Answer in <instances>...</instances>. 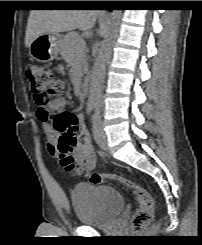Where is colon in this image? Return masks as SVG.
<instances>
[{"mask_svg":"<svg viewBox=\"0 0 202 245\" xmlns=\"http://www.w3.org/2000/svg\"><path fill=\"white\" fill-rule=\"evenodd\" d=\"M61 71L54 70L46 65L32 63L27 66L26 76L31 85L35 97L37 112L52 129L59 133L57 147L60 166L68 173L77 176L79 170L74 164L71 152L77 143L76 132L80 128V119L73 113L63 111L56 114L49 112L51 98L61 92ZM115 181L124 187L131 189L138 201V208L132 216L133 234L138 236L141 228L153 218L154 201L148 190L141 187L135 181L122 175L112 173H93L90 175L92 184Z\"/></svg>","mask_w":202,"mask_h":245,"instance_id":"colon-1","label":"colon"}]
</instances>
